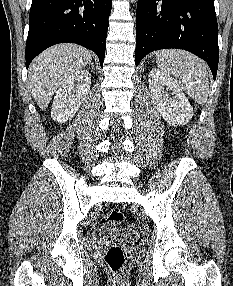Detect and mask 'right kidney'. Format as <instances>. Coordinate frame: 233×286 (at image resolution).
Returning <instances> with one entry per match:
<instances>
[{
	"mask_svg": "<svg viewBox=\"0 0 233 286\" xmlns=\"http://www.w3.org/2000/svg\"><path fill=\"white\" fill-rule=\"evenodd\" d=\"M91 85L89 71L80 70L70 75L59 87L51 109L53 120L64 123L71 119L87 97Z\"/></svg>",
	"mask_w": 233,
	"mask_h": 286,
	"instance_id": "ca27d5eb",
	"label": "right kidney"
}]
</instances>
